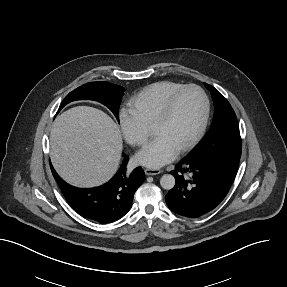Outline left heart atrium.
Masks as SVG:
<instances>
[{"instance_id": "39dd6f15", "label": "left heart atrium", "mask_w": 287, "mask_h": 287, "mask_svg": "<svg viewBox=\"0 0 287 287\" xmlns=\"http://www.w3.org/2000/svg\"><path fill=\"white\" fill-rule=\"evenodd\" d=\"M178 153L170 142L161 136H156L141 151L136 160L145 166L157 168L172 161Z\"/></svg>"}]
</instances>
